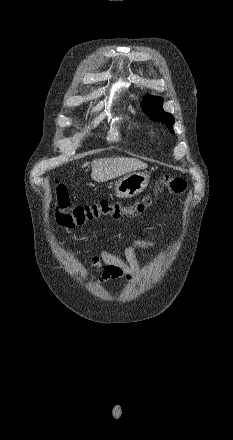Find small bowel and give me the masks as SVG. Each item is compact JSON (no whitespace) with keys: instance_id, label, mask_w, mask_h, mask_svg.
I'll list each match as a JSON object with an SVG mask.
<instances>
[{"instance_id":"1","label":"small bowel","mask_w":233,"mask_h":440,"mask_svg":"<svg viewBox=\"0 0 233 440\" xmlns=\"http://www.w3.org/2000/svg\"><path fill=\"white\" fill-rule=\"evenodd\" d=\"M154 239L136 240L125 250V259L102 249L98 255L91 257L90 262L95 268H103L96 283L102 285L109 280H124L129 282L132 277L139 275L140 267L136 257L139 250H147L155 245Z\"/></svg>"}]
</instances>
